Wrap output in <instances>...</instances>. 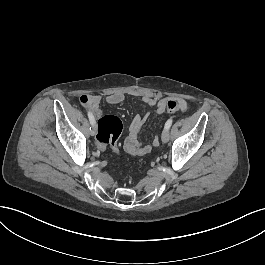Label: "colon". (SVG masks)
<instances>
[{
	"instance_id": "obj_1",
	"label": "colon",
	"mask_w": 265,
	"mask_h": 265,
	"mask_svg": "<svg viewBox=\"0 0 265 265\" xmlns=\"http://www.w3.org/2000/svg\"><path fill=\"white\" fill-rule=\"evenodd\" d=\"M179 103L174 99L166 100V106L164 105L166 114L171 112L182 111L179 108ZM123 125L118 116L108 114L101 116L98 121L96 143L100 150H105L109 146H116L119 141V137L122 133Z\"/></svg>"
}]
</instances>
